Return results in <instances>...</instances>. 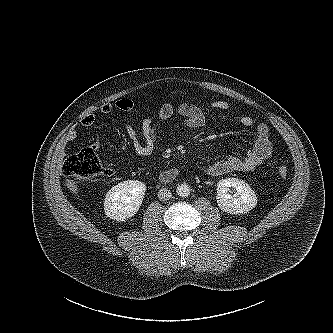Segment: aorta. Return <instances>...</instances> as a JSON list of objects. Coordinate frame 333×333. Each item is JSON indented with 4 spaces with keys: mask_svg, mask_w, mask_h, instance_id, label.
<instances>
[{
    "mask_svg": "<svg viewBox=\"0 0 333 333\" xmlns=\"http://www.w3.org/2000/svg\"><path fill=\"white\" fill-rule=\"evenodd\" d=\"M176 193L180 197H187L190 195V187L187 184H180L176 188Z\"/></svg>",
    "mask_w": 333,
    "mask_h": 333,
    "instance_id": "aorta-1",
    "label": "aorta"
}]
</instances>
